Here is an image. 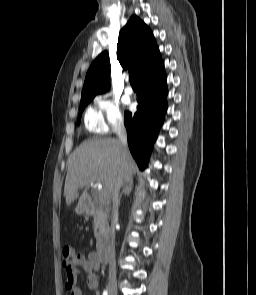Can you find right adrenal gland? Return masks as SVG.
I'll list each match as a JSON object with an SVG mask.
<instances>
[{
    "label": "right adrenal gland",
    "mask_w": 256,
    "mask_h": 295,
    "mask_svg": "<svg viewBox=\"0 0 256 295\" xmlns=\"http://www.w3.org/2000/svg\"><path fill=\"white\" fill-rule=\"evenodd\" d=\"M132 188H133L132 182H128L125 185H123L122 193L120 194V197H119V205H120V201H121L123 194L129 195L132 191Z\"/></svg>",
    "instance_id": "obj_1"
}]
</instances>
